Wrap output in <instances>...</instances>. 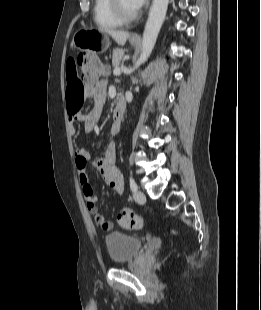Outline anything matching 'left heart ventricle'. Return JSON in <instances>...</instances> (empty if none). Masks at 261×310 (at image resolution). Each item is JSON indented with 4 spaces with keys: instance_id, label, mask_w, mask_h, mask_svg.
<instances>
[{
    "instance_id": "left-heart-ventricle-1",
    "label": "left heart ventricle",
    "mask_w": 261,
    "mask_h": 310,
    "mask_svg": "<svg viewBox=\"0 0 261 310\" xmlns=\"http://www.w3.org/2000/svg\"><path fill=\"white\" fill-rule=\"evenodd\" d=\"M121 4H122L123 9L127 13H134L137 11V9L135 8V6L132 3V0H121Z\"/></svg>"
}]
</instances>
